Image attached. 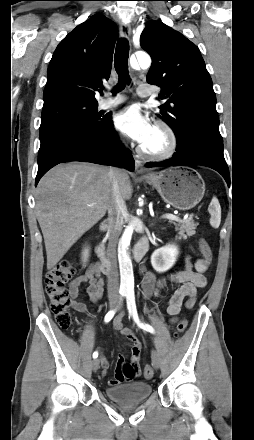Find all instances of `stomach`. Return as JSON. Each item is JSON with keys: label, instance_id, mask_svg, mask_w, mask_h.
<instances>
[{"label": "stomach", "instance_id": "obj_1", "mask_svg": "<svg viewBox=\"0 0 254 440\" xmlns=\"http://www.w3.org/2000/svg\"><path fill=\"white\" fill-rule=\"evenodd\" d=\"M142 179L152 185L166 203L179 210L192 209L205 193L203 178L192 168H168Z\"/></svg>", "mask_w": 254, "mask_h": 440}]
</instances>
